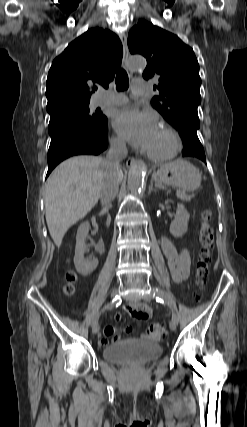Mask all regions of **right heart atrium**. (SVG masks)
I'll use <instances>...</instances> for the list:
<instances>
[{"instance_id":"d8ad5b80","label":"right heart atrium","mask_w":247,"mask_h":427,"mask_svg":"<svg viewBox=\"0 0 247 427\" xmlns=\"http://www.w3.org/2000/svg\"><path fill=\"white\" fill-rule=\"evenodd\" d=\"M111 146L118 151H122L125 148L123 140L119 137L113 136L110 139Z\"/></svg>"}]
</instances>
